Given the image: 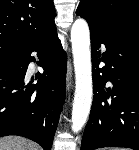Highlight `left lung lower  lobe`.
I'll return each instance as SVG.
<instances>
[{
	"instance_id": "0a47b994",
	"label": "left lung lower lobe",
	"mask_w": 139,
	"mask_h": 150,
	"mask_svg": "<svg viewBox=\"0 0 139 150\" xmlns=\"http://www.w3.org/2000/svg\"><path fill=\"white\" fill-rule=\"evenodd\" d=\"M90 34L94 96L81 150H139V22L107 36L92 28Z\"/></svg>"
}]
</instances>
